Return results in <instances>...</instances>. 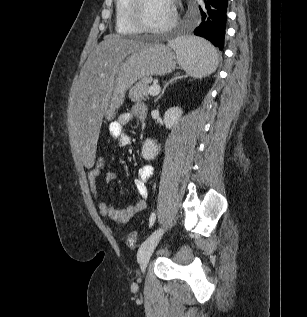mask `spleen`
<instances>
[{
	"mask_svg": "<svg viewBox=\"0 0 307 317\" xmlns=\"http://www.w3.org/2000/svg\"><path fill=\"white\" fill-rule=\"evenodd\" d=\"M168 45L175 50L179 65L188 75L202 78L215 71L218 54L208 41L187 36L170 41Z\"/></svg>",
	"mask_w": 307,
	"mask_h": 317,
	"instance_id": "1",
	"label": "spleen"
}]
</instances>
